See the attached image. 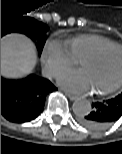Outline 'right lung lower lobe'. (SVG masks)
Masks as SVG:
<instances>
[{"mask_svg":"<svg viewBox=\"0 0 122 154\" xmlns=\"http://www.w3.org/2000/svg\"><path fill=\"white\" fill-rule=\"evenodd\" d=\"M57 88L47 79L29 75L20 80L1 77V115L15 123L35 119L44 109L45 98Z\"/></svg>","mask_w":122,"mask_h":154,"instance_id":"right-lung-lower-lobe-1","label":"right lung lower lobe"}]
</instances>
